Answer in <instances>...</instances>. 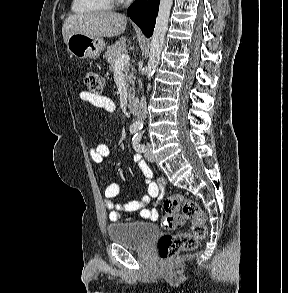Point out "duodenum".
<instances>
[{
	"label": "duodenum",
	"mask_w": 288,
	"mask_h": 293,
	"mask_svg": "<svg viewBox=\"0 0 288 293\" xmlns=\"http://www.w3.org/2000/svg\"><path fill=\"white\" fill-rule=\"evenodd\" d=\"M128 107H129V110L132 113H137L138 112V108H139L138 98L137 97H131V98H129Z\"/></svg>",
	"instance_id": "410a0bca"
}]
</instances>
